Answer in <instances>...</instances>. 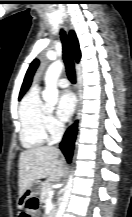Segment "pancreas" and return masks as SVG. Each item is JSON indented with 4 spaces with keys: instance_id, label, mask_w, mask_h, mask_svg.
<instances>
[{
    "instance_id": "cf45deb5",
    "label": "pancreas",
    "mask_w": 132,
    "mask_h": 217,
    "mask_svg": "<svg viewBox=\"0 0 132 217\" xmlns=\"http://www.w3.org/2000/svg\"><path fill=\"white\" fill-rule=\"evenodd\" d=\"M50 190H52V184L49 182V180H46L41 183L40 202L42 203L46 202V200L49 197L48 193ZM54 212H55V209L53 208L48 217H53Z\"/></svg>"
}]
</instances>
